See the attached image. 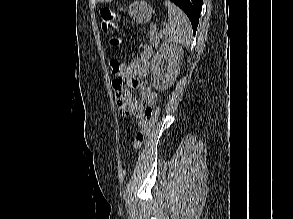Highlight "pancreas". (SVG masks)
<instances>
[{
	"instance_id": "cf45deb5",
	"label": "pancreas",
	"mask_w": 293,
	"mask_h": 219,
	"mask_svg": "<svg viewBox=\"0 0 293 219\" xmlns=\"http://www.w3.org/2000/svg\"><path fill=\"white\" fill-rule=\"evenodd\" d=\"M148 37L150 40V43L154 46H158L159 44V35L155 32V30L150 29L148 32Z\"/></svg>"
}]
</instances>
